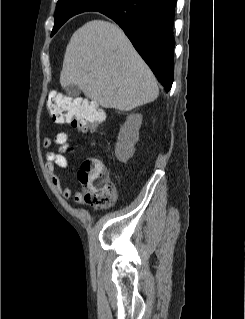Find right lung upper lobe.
<instances>
[{
    "label": "right lung upper lobe",
    "instance_id": "1",
    "mask_svg": "<svg viewBox=\"0 0 245 319\" xmlns=\"http://www.w3.org/2000/svg\"><path fill=\"white\" fill-rule=\"evenodd\" d=\"M58 1H62V0H58ZM65 1H69L71 4L68 6L67 10H68V15L67 17L62 20L59 25L61 26L63 23H65L70 17L81 13V12H85L84 9L80 6L81 3L83 2V0H65ZM105 10V9H104ZM102 11V10H101Z\"/></svg>",
    "mask_w": 245,
    "mask_h": 319
}]
</instances>
